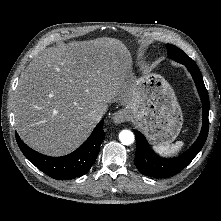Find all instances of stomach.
Returning a JSON list of instances; mask_svg holds the SVG:
<instances>
[{
	"mask_svg": "<svg viewBox=\"0 0 221 221\" xmlns=\"http://www.w3.org/2000/svg\"><path fill=\"white\" fill-rule=\"evenodd\" d=\"M134 95L125 111L155 145L173 142L183 125V115L175 92L159 74L146 73L134 84Z\"/></svg>",
	"mask_w": 221,
	"mask_h": 221,
	"instance_id": "obj_1",
	"label": "stomach"
}]
</instances>
